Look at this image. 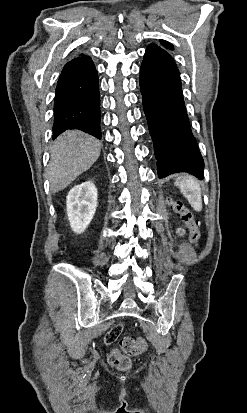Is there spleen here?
<instances>
[{"label":"spleen","mask_w":247,"mask_h":413,"mask_svg":"<svg viewBox=\"0 0 247 413\" xmlns=\"http://www.w3.org/2000/svg\"><path fill=\"white\" fill-rule=\"evenodd\" d=\"M177 180V184L182 194H184L187 200H189L191 207H193L195 211H201V186L197 178H194V176H190V174H184V176H178Z\"/></svg>","instance_id":"3e777b00"}]
</instances>
